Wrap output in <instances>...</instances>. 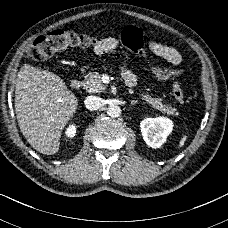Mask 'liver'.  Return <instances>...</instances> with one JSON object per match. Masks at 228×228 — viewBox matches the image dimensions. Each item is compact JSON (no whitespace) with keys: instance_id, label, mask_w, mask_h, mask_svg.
Here are the masks:
<instances>
[{"instance_id":"obj_1","label":"liver","mask_w":228,"mask_h":228,"mask_svg":"<svg viewBox=\"0 0 228 228\" xmlns=\"http://www.w3.org/2000/svg\"><path fill=\"white\" fill-rule=\"evenodd\" d=\"M78 109V99L49 71L25 64L18 74L15 111L19 129L34 150L59 152L61 137Z\"/></svg>"}]
</instances>
